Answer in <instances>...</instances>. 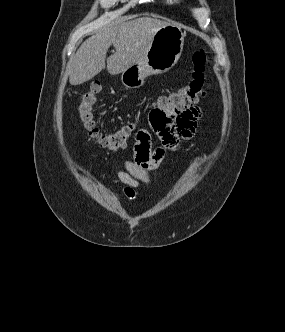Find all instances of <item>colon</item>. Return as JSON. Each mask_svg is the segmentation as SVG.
Wrapping results in <instances>:
<instances>
[{"label": "colon", "instance_id": "obj_1", "mask_svg": "<svg viewBox=\"0 0 285 332\" xmlns=\"http://www.w3.org/2000/svg\"><path fill=\"white\" fill-rule=\"evenodd\" d=\"M192 62V81L182 88L159 97L153 106L170 107V111L174 109L181 114L185 110L194 107L205 95L208 87L207 72L209 61L204 50H197L193 54ZM100 91V82H93L89 88L80 95L79 103L77 105L79 120L89 136L94 138L102 148L110 151L123 149L126 147L135 129V125L127 124L112 132L101 133L97 126L94 114Z\"/></svg>", "mask_w": 285, "mask_h": 332}]
</instances>
